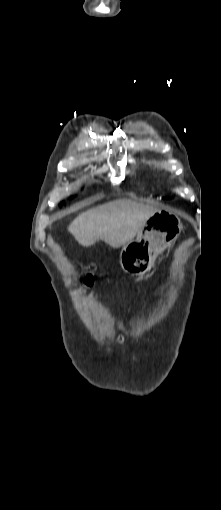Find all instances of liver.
<instances>
[{"mask_svg":"<svg viewBox=\"0 0 221 510\" xmlns=\"http://www.w3.org/2000/svg\"><path fill=\"white\" fill-rule=\"evenodd\" d=\"M158 211L132 200H115L81 213L69 224L68 231L84 247L102 240L119 248L133 241L147 219Z\"/></svg>","mask_w":221,"mask_h":510,"instance_id":"obj_1","label":"liver"}]
</instances>
